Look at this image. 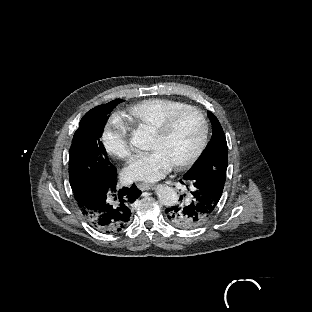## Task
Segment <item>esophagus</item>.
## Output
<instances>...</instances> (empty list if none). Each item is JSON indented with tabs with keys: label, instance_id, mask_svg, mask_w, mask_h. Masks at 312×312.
Instances as JSON below:
<instances>
[{
	"label": "esophagus",
	"instance_id": "1",
	"mask_svg": "<svg viewBox=\"0 0 312 312\" xmlns=\"http://www.w3.org/2000/svg\"><path fill=\"white\" fill-rule=\"evenodd\" d=\"M153 184L151 183H145V182H139L137 183V187L142 190V191H145V190H149L151 188H153Z\"/></svg>",
	"mask_w": 312,
	"mask_h": 312
}]
</instances>
